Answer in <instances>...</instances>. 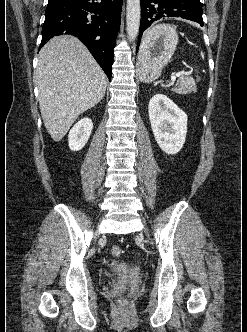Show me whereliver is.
Listing matches in <instances>:
<instances>
[{"mask_svg": "<svg viewBox=\"0 0 247 332\" xmlns=\"http://www.w3.org/2000/svg\"><path fill=\"white\" fill-rule=\"evenodd\" d=\"M38 59L40 111L48 133L58 142L80 114L104 97L107 77L87 48L70 35L49 40Z\"/></svg>", "mask_w": 247, "mask_h": 332, "instance_id": "liver-1", "label": "liver"}]
</instances>
